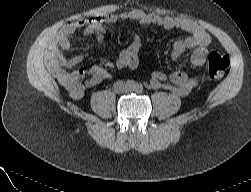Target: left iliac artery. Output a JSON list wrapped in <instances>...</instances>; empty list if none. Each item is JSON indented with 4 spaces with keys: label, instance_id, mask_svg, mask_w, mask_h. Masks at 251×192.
<instances>
[{
    "label": "left iliac artery",
    "instance_id": "1",
    "mask_svg": "<svg viewBox=\"0 0 251 192\" xmlns=\"http://www.w3.org/2000/svg\"><path fill=\"white\" fill-rule=\"evenodd\" d=\"M136 90L137 91H141L142 90V86L141 85H136Z\"/></svg>",
    "mask_w": 251,
    "mask_h": 192
}]
</instances>
